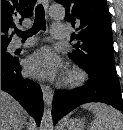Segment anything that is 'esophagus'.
Returning <instances> with one entry per match:
<instances>
[{"mask_svg": "<svg viewBox=\"0 0 123 130\" xmlns=\"http://www.w3.org/2000/svg\"><path fill=\"white\" fill-rule=\"evenodd\" d=\"M39 1L43 4L45 10L47 11L48 6H49V0H39ZM41 89H42L43 98H44L45 103L47 105H50L52 102V98H53L52 89L50 88V86L44 85V84H41Z\"/></svg>", "mask_w": 123, "mask_h": 130, "instance_id": "esophagus-1", "label": "esophagus"}]
</instances>
